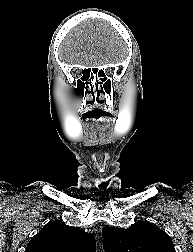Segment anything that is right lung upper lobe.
Masks as SVG:
<instances>
[{
    "instance_id": "1",
    "label": "right lung upper lobe",
    "mask_w": 193,
    "mask_h": 252,
    "mask_svg": "<svg viewBox=\"0 0 193 252\" xmlns=\"http://www.w3.org/2000/svg\"><path fill=\"white\" fill-rule=\"evenodd\" d=\"M94 236L55 220L32 237L25 252H95Z\"/></svg>"
}]
</instances>
